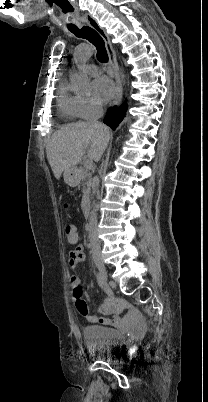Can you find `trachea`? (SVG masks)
Here are the masks:
<instances>
[{"label":"trachea","mask_w":208,"mask_h":402,"mask_svg":"<svg viewBox=\"0 0 208 402\" xmlns=\"http://www.w3.org/2000/svg\"><path fill=\"white\" fill-rule=\"evenodd\" d=\"M68 30L76 35V37L86 38L92 43L97 50V59L101 63H108V54L106 51L105 43L102 37L91 27L84 26L81 29L78 27H68Z\"/></svg>","instance_id":"obj_1"}]
</instances>
